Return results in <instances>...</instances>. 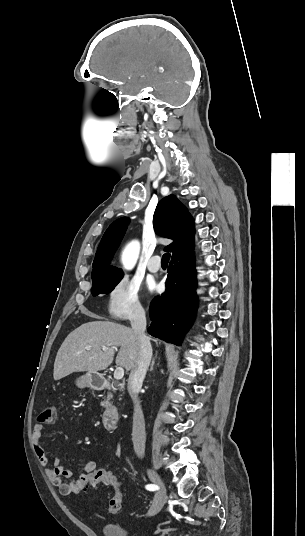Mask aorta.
Instances as JSON below:
<instances>
[{
  "instance_id": "1",
  "label": "aorta",
  "mask_w": 305,
  "mask_h": 536,
  "mask_svg": "<svg viewBox=\"0 0 305 536\" xmlns=\"http://www.w3.org/2000/svg\"><path fill=\"white\" fill-rule=\"evenodd\" d=\"M140 243L138 241L130 242L122 252V264L127 270H131L139 257Z\"/></svg>"
}]
</instances>
